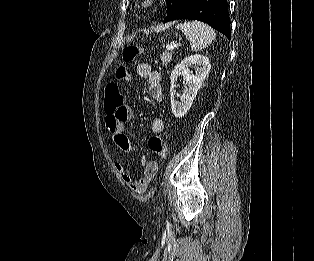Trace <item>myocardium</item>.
<instances>
[{
	"instance_id": "myocardium-1",
	"label": "myocardium",
	"mask_w": 314,
	"mask_h": 261,
	"mask_svg": "<svg viewBox=\"0 0 314 261\" xmlns=\"http://www.w3.org/2000/svg\"><path fill=\"white\" fill-rule=\"evenodd\" d=\"M162 0H140L139 6L144 11H149L158 8Z\"/></svg>"
}]
</instances>
